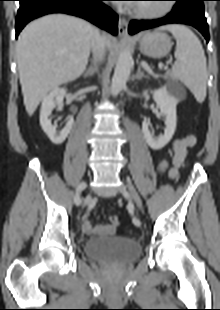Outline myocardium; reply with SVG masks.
Listing matches in <instances>:
<instances>
[{
  "instance_id": "1",
  "label": "myocardium",
  "mask_w": 220,
  "mask_h": 310,
  "mask_svg": "<svg viewBox=\"0 0 220 310\" xmlns=\"http://www.w3.org/2000/svg\"><path fill=\"white\" fill-rule=\"evenodd\" d=\"M170 10L171 5L165 2L149 8L138 7L133 14L141 18H158L166 15Z\"/></svg>"
}]
</instances>
